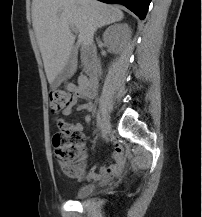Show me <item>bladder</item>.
I'll return each mask as SVG.
<instances>
[{"label": "bladder", "instance_id": "obj_1", "mask_svg": "<svg viewBox=\"0 0 202 217\" xmlns=\"http://www.w3.org/2000/svg\"><path fill=\"white\" fill-rule=\"evenodd\" d=\"M93 189L94 186L92 184L82 185L74 193V198L78 200L84 199L92 193Z\"/></svg>", "mask_w": 202, "mask_h": 217}]
</instances>
